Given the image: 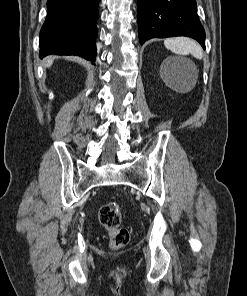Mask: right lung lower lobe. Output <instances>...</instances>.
<instances>
[{"mask_svg": "<svg viewBox=\"0 0 247 296\" xmlns=\"http://www.w3.org/2000/svg\"><path fill=\"white\" fill-rule=\"evenodd\" d=\"M99 0H47L40 31V57L78 55L94 63Z\"/></svg>", "mask_w": 247, "mask_h": 296, "instance_id": "1", "label": "right lung lower lobe"}]
</instances>
